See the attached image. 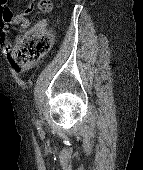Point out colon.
Returning a JSON list of instances; mask_svg holds the SVG:
<instances>
[{
    "label": "colon",
    "instance_id": "5ec220e1",
    "mask_svg": "<svg viewBox=\"0 0 143 170\" xmlns=\"http://www.w3.org/2000/svg\"><path fill=\"white\" fill-rule=\"evenodd\" d=\"M39 8L43 12H50L52 4L50 0H40ZM13 16L8 0H0V20L10 21ZM53 39L52 32L45 23L40 22L24 32L17 52L18 58L22 62H31L44 57L51 49Z\"/></svg>",
    "mask_w": 143,
    "mask_h": 170
}]
</instances>
